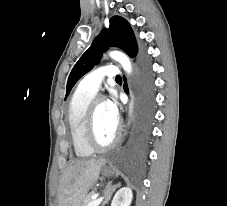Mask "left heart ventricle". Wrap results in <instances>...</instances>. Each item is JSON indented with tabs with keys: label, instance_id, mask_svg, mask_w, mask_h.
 Returning <instances> with one entry per match:
<instances>
[{
	"label": "left heart ventricle",
	"instance_id": "left-heart-ventricle-1",
	"mask_svg": "<svg viewBox=\"0 0 227 206\" xmlns=\"http://www.w3.org/2000/svg\"><path fill=\"white\" fill-rule=\"evenodd\" d=\"M115 125L109 118L105 102H100L96 109L95 130L96 137L101 144L109 143L116 131Z\"/></svg>",
	"mask_w": 227,
	"mask_h": 206
}]
</instances>
